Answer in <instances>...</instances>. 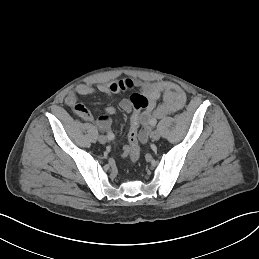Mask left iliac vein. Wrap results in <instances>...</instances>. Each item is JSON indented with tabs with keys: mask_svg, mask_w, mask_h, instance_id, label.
Masks as SVG:
<instances>
[{
	"mask_svg": "<svg viewBox=\"0 0 259 259\" xmlns=\"http://www.w3.org/2000/svg\"><path fill=\"white\" fill-rule=\"evenodd\" d=\"M151 138L155 141L160 139V132L158 130H154L151 134Z\"/></svg>",
	"mask_w": 259,
	"mask_h": 259,
	"instance_id": "left-iliac-vein-1",
	"label": "left iliac vein"
}]
</instances>
